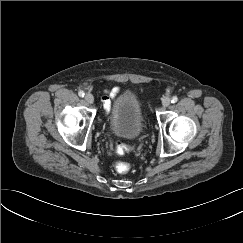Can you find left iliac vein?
Masks as SVG:
<instances>
[{"label":"left iliac vein","instance_id":"left-iliac-vein-1","mask_svg":"<svg viewBox=\"0 0 243 243\" xmlns=\"http://www.w3.org/2000/svg\"><path fill=\"white\" fill-rule=\"evenodd\" d=\"M170 103H171V100H170L169 97H165V98L162 100V105H163L164 107L169 106Z\"/></svg>","mask_w":243,"mask_h":243}]
</instances>
